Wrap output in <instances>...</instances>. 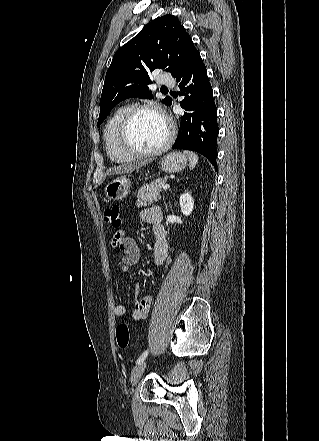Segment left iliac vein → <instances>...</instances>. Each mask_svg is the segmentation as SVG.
<instances>
[{"instance_id":"left-iliac-vein-1","label":"left iliac vein","mask_w":319,"mask_h":441,"mask_svg":"<svg viewBox=\"0 0 319 441\" xmlns=\"http://www.w3.org/2000/svg\"><path fill=\"white\" fill-rule=\"evenodd\" d=\"M146 361L137 364L131 371V383L136 384L146 368Z\"/></svg>"}]
</instances>
